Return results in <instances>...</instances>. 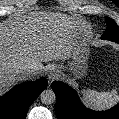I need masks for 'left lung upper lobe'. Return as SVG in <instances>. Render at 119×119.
<instances>
[{
    "label": "left lung upper lobe",
    "instance_id": "left-lung-upper-lobe-1",
    "mask_svg": "<svg viewBox=\"0 0 119 119\" xmlns=\"http://www.w3.org/2000/svg\"><path fill=\"white\" fill-rule=\"evenodd\" d=\"M106 18V23H107V30L105 33L102 35L101 38L103 39H108V40H113L114 38H119V26L116 24V22L109 18Z\"/></svg>",
    "mask_w": 119,
    "mask_h": 119
}]
</instances>
